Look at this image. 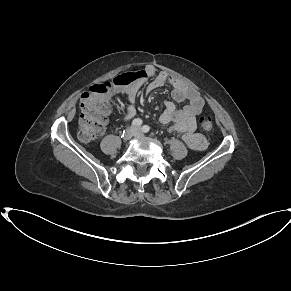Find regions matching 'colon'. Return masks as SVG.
I'll return each instance as SVG.
<instances>
[{
  "label": "colon",
  "instance_id": "1",
  "mask_svg": "<svg viewBox=\"0 0 291 291\" xmlns=\"http://www.w3.org/2000/svg\"><path fill=\"white\" fill-rule=\"evenodd\" d=\"M137 74L127 73L117 76L112 82L94 84L82 95L78 138L84 143L95 140L104 130L109 114V103L105 98L112 87H124L137 79ZM201 130L209 133L213 129L211 116L203 114L198 119Z\"/></svg>",
  "mask_w": 291,
  "mask_h": 291
}]
</instances>
